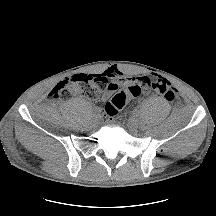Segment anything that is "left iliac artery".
Here are the masks:
<instances>
[{"label": "left iliac artery", "instance_id": "obj_1", "mask_svg": "<svg viewBox=\"0 0 216 216\" xmlns=\"http://www.w3.org/2000/svg\"><path fill=\"white\" fill-rule=\"evenodd\" d=\"M134 114H135L136 116H138V115H139V110L135 109V110H134Z\"/></svg>", "mask_w": 216, "mask_h": 216}]
</instances>
